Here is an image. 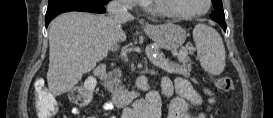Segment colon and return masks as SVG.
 <instances>
[{
	"instance_id": "1",
	"label": "colon",
	"mask_w": 273,
	"mask_h": 118,
	"mask_svg": "<svg viewBox=\"0 0 273 118\" xmlns=\"http://www.w3.org/2000/svg\"><path fill=\"white\" fill-rule=\"evenodd\" d=\"M213 84L221 91L228 92L233 89V80L230 77L213 78ZM95 87V80L86 79L83 83L75 86L69 93V100L75 106L87 105L92 97ZM35 110L42 118H49L59 111L60 104L58 99L52 95L44 85L42 80H38L35 85Z\"/></svg>"
}]
</instances>
